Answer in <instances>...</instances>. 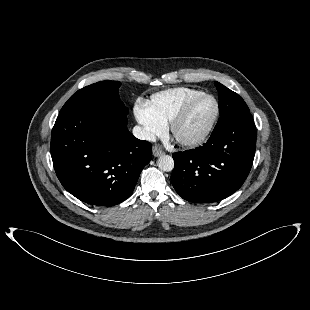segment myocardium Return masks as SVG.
Listing matches in <instances>:
<instances>
[{"instance_id":"f54148a6","label":"myocardium","mask_w":310,"mask_h":310,"mask_svg":"<svg viewBox=\"0 0 310 310\" xmlns=\"http://www.w3.org/2000/svg\"><path fill=\"white\" fill-rule=\"evenodd\" d=\"M209 98L214 102V113L212 118L210 119L209 123L207 126L204 128V130L197 136L189 139H183L178 137L177 135V127L179 124L187 117L188 113L190 112L191 108L195 103L200 101L201 99ZM220 114V107L217 99L210 94L207 93H202L200 95H197L190 100H188L182 107L181 109L175 114V116L171 119L170 125H169V130L172 135V137L181 145L187 148H195L203 144L208 137L211 135L217 120L219 118Z\"/></svg>"}]
</instances>
